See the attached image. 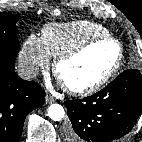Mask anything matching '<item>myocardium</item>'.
<instances>
[{
    "label": "myocardium",
    "mask_w": 142,
    "mask_h": 142,
    "mask_svg": "<svg viewBox=\"0 0 142 142\" xmlns=\"http://www.w3.org/2000/svg\"><path fill=\"white\" fill-rule=\"evenodd\" d=\"M103 42H111L115 44L118 50L116 60L111 68L101 78L84 87H72L63 83L60 77V67L62 66V64L82 55L93 46ZM123 56L124 51L121 43L111 35H103L89 39L79 46L75 47L74 49L57 57L54 62L53 72L55 76L62 82V85L66 89V91L77 96H87L99 91L114 77L122 64Z\"/></svg>",
    "instance_id": "myocardium-1"
}]
</instances>
